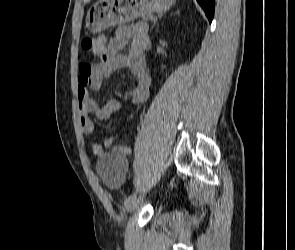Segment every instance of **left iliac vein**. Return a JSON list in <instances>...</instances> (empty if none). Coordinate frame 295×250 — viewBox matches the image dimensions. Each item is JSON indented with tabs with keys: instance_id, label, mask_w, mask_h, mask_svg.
<instances>
[{
	"instance_id": "obj_1",
	"label": "left iliac vein",
	"mask_w": 295,
	"mask_h": 250,
	"mask_svg": "<svg viewBox=\"0 0 295 250\" xmlns=\"http://www.w3.org/2000/svg\"><path fill=\"white\" fill-rule=\"evenodd\" d=\"M143 202V197L134 199L130 204L126 206L127 211L135 210Z\"/></svg>"
}]
</instances>
